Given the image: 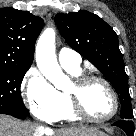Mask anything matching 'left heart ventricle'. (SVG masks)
<instances>
[{"label":"left heart ventricle","mask_w":136,"mask_h":136,"mask_svg":"<svg viewBox=\"0 0 136 136\" xmlns=\"http://www.w3.org/2000/svg\"><path fill=\"white\" fill-rule=\"evenodd\" d=\"M82 100L86 112L94 118L107 117L113 110L112 97L108 89L99 82L91 83L85 89Z\"/></svg>","instance_id":"1"}]
</instances>
